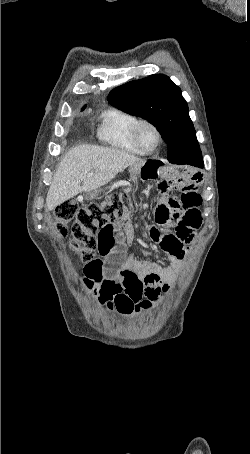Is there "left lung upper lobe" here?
I'll use <instances>...</instances> for the list:
<instances>
[{"label": "left lung upper lobe", "mask_w": 250, "mask_h": 454, "mask_svg": "<svg viewBox=\"0 0 250 454\" xmlns=\"http://www.w3.org/2000/svg\"><path fill=\"white\" fill-rule=\"evenodd\" d=\"M108 101L152 123L168 145V159L188 154L202 157L187 102L166 75H150L121 85L109 93Z\"/></svg>", "instance_id": "left-lung-upper-lobe-1"}]
</instances>
